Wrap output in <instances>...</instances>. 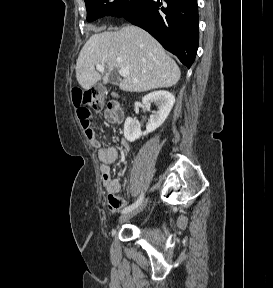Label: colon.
Segmentation results:
<instances>
[{
	"label": "colon",
	"mask_w": 273,
	"mask_h": 288,
	"mask_svg": "<svg viewBox=\"0 0 273 288\" xmlns=\"http://www.w3.org/2000/svg\"><path fill=\"white\" fill-rule=\"evenodd\" d=\"M72 101L83 128H88L92 111H99L102 107L99 92L95 89L84 91L80 88H74L72 90Z\"/></svg>",
	"instance_id": "1"
}]
</instances>
